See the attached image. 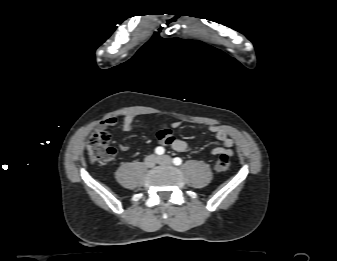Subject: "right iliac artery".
<instances>
[{
  "instance_id": "82829eb1",
  "label": "right iliac artery",
  "mask_w": 337,
  "mask_h": 261,
  "mask_svg": "<svg viewBox=\"0 0 337 261\" xmlns=\"http://www.w3.org/2000/svg\"><path fill=\"white\" fill-rule=\"evenodd\" d=\"M164 152H165V149L161 146H159L155 149V153L158 154V155H162V154H164Z\"/></svg>"
}]
</instances>
